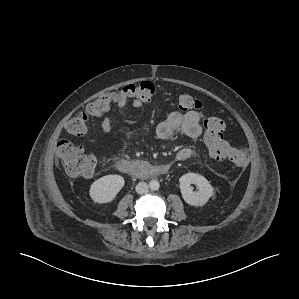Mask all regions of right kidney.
Here are the masks:
<instances>
[{
	"label": "right kidney",
	"mask_w": 299,
	"mask_h": 299,
	"mask_svg": "<svg viewBox=\"0 0 299 299\" xmlns=\"http://www.w3.org/2000/svg\"><path fill=\"white\" fill-rule=\"evenodd\" d=\"M124 184L125 181L122 176L106 175L92 183L89 194L96 203H108L114 200Z\"/></svg>",
	"instance_id": "right-kidney-1"
}]
</instances>
